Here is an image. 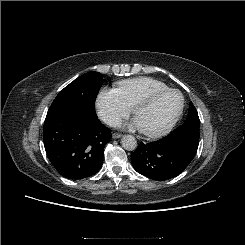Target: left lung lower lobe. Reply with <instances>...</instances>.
<instances>
[{"mask_svg": "<svg viewBox=\"0 0 245 245\" xmlns=\"http://www.w3.org/2000/svg\"><path fill=\"white\" fill-rule=\"evenodd\" d=\"M199 139L165 137L151 143H140L131 154L134 169L154 180L171 179L182 173L194 158Z\"/></svg>", "mask_w": 245, "mask_h": 245, "instance_id": "left-lung-lower-lobe-1", "label": "left lung lower lobe"}]
</instances>
